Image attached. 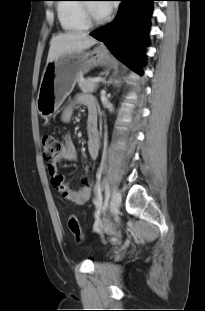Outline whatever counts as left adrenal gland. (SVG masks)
Returning a JSON list of instances; mask_svg holds the SVG:
<instances>
[{"label":"left adrenal gland","instance_id":"a2214340","mask_svg":"<svg viewBox=\"0 0 205 311\" xmlns=\"http://www.w3.org/2000/svg\"><path fill=\"white\" fill-rule=\"evenodd\" d=\"M112 83V79L106 82L107 86H109Z\"/></svg>","mask_w":205,"mask_h":311}]
</instances>
